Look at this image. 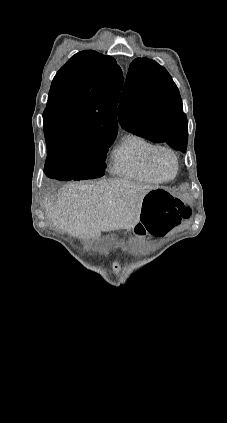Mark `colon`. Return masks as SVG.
<instances>
[{
	"mask_svg": "<svg viewBox=\"0 0 227 423\" xmlns=\"http://www.w3.org/2000/svg\"><path fill=\"white\" fill-rule=\"evenodd\" d=\"M190 209L164 188L148 192L143 201L141 222L154 235H162L188 218Z\"/></svg>",
	"mask_w": 227,
	"mask_h": 423,
	"instance_id": "obj_1",
	"label": "colon"
}]
</instances>
